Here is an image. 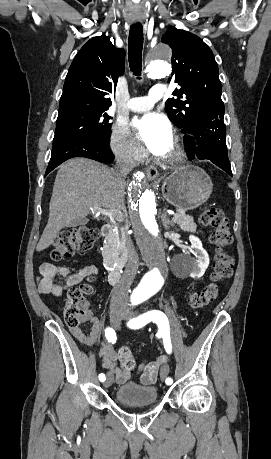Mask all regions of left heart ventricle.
Masks as SVG:
<instances>
[{
	"instance_id": "1",
	"label": "left heart ventricle",
	"mask_w": 271,
	"mask_h": 459,
	"mask_svg": "<svg viewBox=\"0 0 271 459\" xmlns=\"http://www.w3.org/2000/svg\"><path fill=\"white\" fill-rule=\"evenodd\" d=\"M171 147L172 141L170 139L167 143L164 144V146L161 148L158 154H167L171 150Z\"/></svg>"
}]
</instances>
